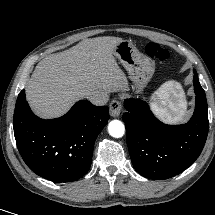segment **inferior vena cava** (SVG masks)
<instances>
[{
    "mask_svg": "<svg viewBox=\"0 0 215 215\" xmlns=\"http://www.w3.org/2000/svg\"><path fill=\"white\" fill-rule=\"evenodd\" d=\"M86 98L94 105L102 106L108 102V94L106 92H91Z\"/></svg>",
    "mask_w": 215,
    "mask_h": 215,
    "instance_id": "602c4592",
    "label": "inferior vena cava"
}]
</instances>
